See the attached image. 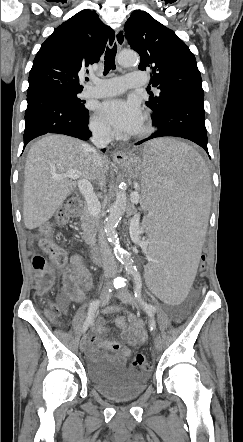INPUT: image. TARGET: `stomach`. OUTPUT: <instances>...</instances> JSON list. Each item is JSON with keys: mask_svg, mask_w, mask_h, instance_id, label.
Listing matches in <instances>:
<instances>
[{"mask_svg": "<svg viewBox=\"0 0 243 442\" xmlns=\"http://www.w3.org/2000/svg\"><path fill=\"white\" fill-rule=\"evenodd\" d=\"M139 163V156L129 154L120 162V166L127 171L130 177L137 178V167Z\"/></svg>", "mask_w": 243, "mask_h": 442, "instance_id": "stomach-1", "label": "stomach"}]
</instances>
